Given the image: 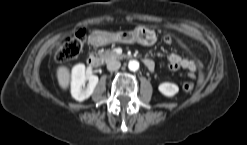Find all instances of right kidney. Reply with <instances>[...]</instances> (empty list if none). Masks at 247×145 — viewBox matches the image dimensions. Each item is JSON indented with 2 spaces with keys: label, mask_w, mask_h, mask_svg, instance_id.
Listing matches in <instances>:
<instances>
[{
  "label": "right kidney",
  "mask_w": 247,
  "mask_h": 145,
  "mask_svg": "<svg viewBox=\"0 0 247 145\" xmlns=\"http://www.w3.org/2000/svg\"><path fill=\"white\" fill-rule=\"evenodd\" d=\"M88 81L87 86L85 83ZM98 77L92 74L87 75L84 64H77L72 69L71 94L74 99L79 102L88 99L96 85L98 84Z\"/></svg>",
  "instance_id": "obj_1"
}]
</instances>
